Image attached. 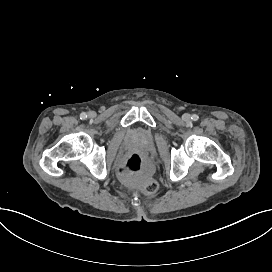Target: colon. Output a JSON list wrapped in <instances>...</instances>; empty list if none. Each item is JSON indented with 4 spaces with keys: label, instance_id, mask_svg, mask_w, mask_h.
<instances>
[{
    "label": "colon",
    "instance_id": "1",
    "mask_svg": "<svg viewBox=\"0 0 272 272\" xmlns=\"http://www.w3.org/2000/svg\"><path fill=\"white\" fill-rule=\"evenodd\" d=\"M149 164L139 154H133L129 158L123 159L118 165V171L123 176H135L148 170ZM158 184L155 181H147L145 192L148 194L156 193Z\"/></svg>",
    "mask_w": 272,
    "mask_h": 272
}]
</instances>
